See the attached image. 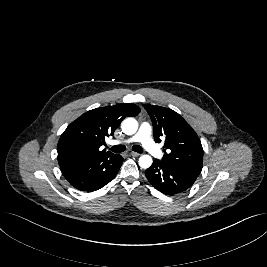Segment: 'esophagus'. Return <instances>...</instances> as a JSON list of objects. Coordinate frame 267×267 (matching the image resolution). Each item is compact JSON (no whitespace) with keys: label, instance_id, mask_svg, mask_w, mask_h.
Here are the masks:
<instances>
[{"label":"esophagus","instance_id":"esophagus-1","mask_svg":"<svg viewBox=\"0 0 267 267\" xmlns=\"http://www.w3.org/2000/svg\"><path fill=\"white\" fill-rule=\"evenodd\" d=\"M130 154H131V156H133V157H138V156H140V154L137 153V152H131Z\"/></svg>","mask_w":267,"mask_h":267}]
</instances>
